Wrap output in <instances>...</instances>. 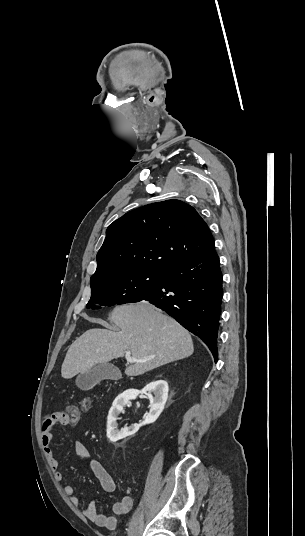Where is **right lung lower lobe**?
Masks as SVG:
<instances>
[{
    "instance_id": "98d812e1",
    "label": "right lung lower lobe",
    "mask_w": 305,
    "mask_h": 536,
    "mask_svg": "<svg viewBox=\"0 0 305 536\" xmlns=\"http://www.w3.org/2000/svg\"><path fill=\"white\" fill-rule=\"evenodd\" d=\"M222 279L214 248L196 259L169 268L161 284L139 301L161 308L201 338L217 361Z\"/></svg>"
}]
</instances>
